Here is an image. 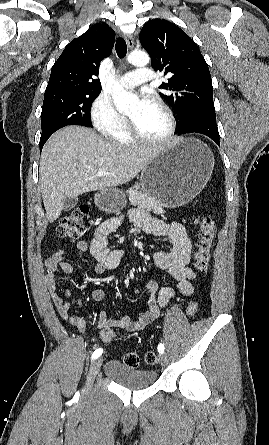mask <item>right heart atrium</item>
Returning <instances> with one entry per match:
<instances>
[{
    "mask_svg": "<svg viewBox=\"0 0 269 445\" xmlns=\"http://www.w3.org/2000/svg\"><path fill=\"white\" fill-rule=\"evenodd\" d=\"M90 118L93 126L102 134H110L126 123L107 94H99L90 106Z\"/></svg>",
    "mask_w": 269,
    "mask_h": 445,
    "instance_id": "right-heart-atrium-1",
    "label": "right heart atrium"
}]
</instances>
